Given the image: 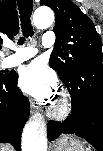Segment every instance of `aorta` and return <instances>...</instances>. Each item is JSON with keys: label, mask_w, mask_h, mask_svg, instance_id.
I'll use <instances>...</instances> for the list:
<instances>
[{"label": "aorta", "mask_w": 103, "mask_h": 151, "mask_svg": "<svg viewBox=\"0 0 103 151\" xmlns=\"http://www.w3.org/2000/svg\"><path fill=\"white\" fill-rule=\"evenodd\" d=\"M54 21V13L48 7H39L33 15V22L36 28L46 29ZM47 140L44 130L38 122L28 123L22 134V151H46Z\"/></svg>", "instance_id": "obj_1"}]
</instances>
